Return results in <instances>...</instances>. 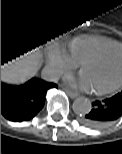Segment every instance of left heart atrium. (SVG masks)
Here are the masks:
<instances>
[{
  "label": "left heart atrium",
  "mask_w": 122,
  "mask_h": 154,
  "mask_svg": "<svg viewBox=\"0 0 122 154\" xmlns=\"http://www.w3.org/2000/svg\"><path fill=\"white\" fill-rule=\"evenodd\" d=\"M65 80L72 87H77V88H82V89L88 88V86L82 76H80L79 78L68 76V77H66Z\"/></svg>",
  "instance_id": "39dd6f15"
}]
</instances>
